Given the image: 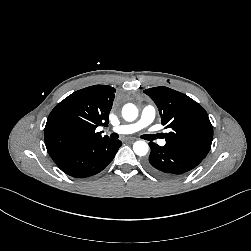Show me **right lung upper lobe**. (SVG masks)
<instances>
[{"label": "right lung upper lobe", "mask_w": 251, "mask_h": 251, "mask_svg": "<svg viewBox=\"0 0 251 251\" xmlns=\"http://www.w3.org/2000/svg\"><path fill=\"white\" fill-rule=\"evenodd\" d=\"M115 91L108 85L86 87L66 97L51 111L44 138L54 162L80 146L108 139L95 130L109 123Z\"/></svg>", "instance_id": "right-lung-upper-lobe-1"}]
</instances>
